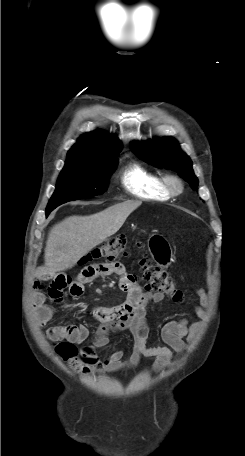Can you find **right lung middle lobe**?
I'll return each mask as SVG.
<instances>
[{
	"label": "right lung middle lobe",
	"mask_w": 245,
	"mask_h": 456,
	"mask_svg": "<svg viewBox=\"0 0 245 456\" xmlns=\"http://www.w3.org/2000/svg\"><path fill=\"white\" fill-rule=\"evenodd\" d=\"M117 160V157H114L95 163H66L46 211H53L68 201L103 194L107 190L108 180L116 167Z\"/></svg>",
	"instance_id": "obj_1"
}]
</instances>
